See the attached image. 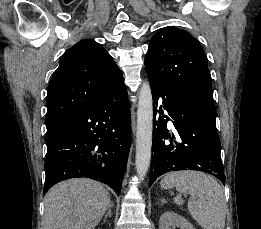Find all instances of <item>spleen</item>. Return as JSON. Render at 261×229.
Instances as JSON below:
<instances>
[{
    "instance_id": "3e777b00",
    "label": "spleen",
    "mask_w": 261,
    "mask_h": 229,
    "mask_svg": "<svg viewBox=\"0 0 261 229\" xmlns=\"http://www.w3.org/2000/svg\"><path fill=\"white\" fill-rule=\"evenodd\" d=\"M161 187H176L178 193L191 195L188 211L202 229H224L227 205L221 185L201 171H171L166 173ZM196 199V201H194ZM176 205H183L181 197H174Z\"/></svg>"
}]
</instances>
